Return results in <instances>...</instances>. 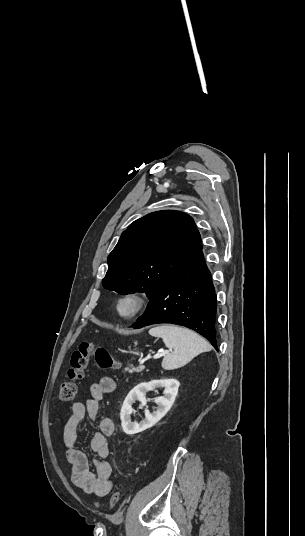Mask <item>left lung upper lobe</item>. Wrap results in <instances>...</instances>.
<instances>
[{
    "instance_id": "1",
    "label": "left lung upper lobe",
    "mask_w": 305,
    "mask_h": 536,
    "mask_svg": "<svg viewBox=\"0 0 305 536\" xmlns=\"http://www.w3.org/2000/svg\"><path fill=\"white\" fill-rule=\"evenodd\" d=\"M201 252L200 233L189 215L150 213L122 233L108 256L103 287L120 294L146 292L151 299Z\"/></svg>"
}]
</instances>
